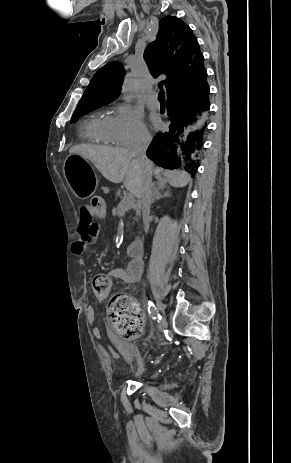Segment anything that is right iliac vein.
Instances as JSON below:
<instances>
[{
    "instance_id": "63e3f726",
    "label": "right iliac vein",
    "mask_w": 291,
    "mask_h": 463,
    "mask_svg": "<svg viewBox=\"0 0 291 463\" xmlns=\"http://www.w3.org/2000/svg\"><path fill=\"white\" fill-rule=\"evenodd\" d=\"M156 305H157L159 311H160L161 314H162V317H163V318H162V324L164 325V324H165L164 307H163L162 303H161L159 300H157V299H156Z\"/></svg>"
}]
</instances>
